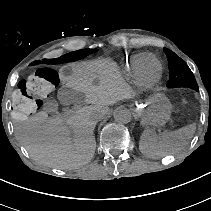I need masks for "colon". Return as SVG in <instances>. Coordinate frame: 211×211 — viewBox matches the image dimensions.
I'll use <instances>...</instances> for the list:
<instances>
[{"label":"colon","mask_w":211,"mask_h":211,"mask_svg":"<svg viewBox=\"0 0 211 211\" xmlns=\"http://www.w3.org/2000/svg\"><path fill=\"white\" fill-rule=\"evenodd\" d=\"M58 84V73L46 67L37 69L27 79L20 81L12 96L13 117L16 120L32 117Z\"/></svg>","instance_id":"colon-1"}]
</instances>
